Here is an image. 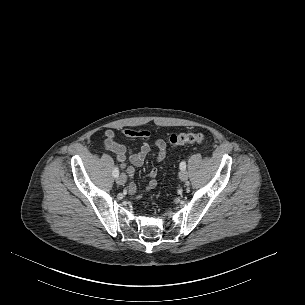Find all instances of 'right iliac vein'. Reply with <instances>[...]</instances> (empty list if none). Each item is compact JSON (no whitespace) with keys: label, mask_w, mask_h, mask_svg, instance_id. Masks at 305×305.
Instances as JSON below:
<instances>
[{"label":"right iliac vein","mask_w":305,"mask_h":305,"mask_svg":"<svg viewBox=\"0 0 305 305\" xmlns=\"http://www.w3.org/2000/svg\"><path fill=\"white\" fill-rule=\"evenodd\" d=\"M127 177L124 173H121L118 177H117V184L119 185H124L126 183Z\"/></svg>","instance_id":"1"}]
</instances>
